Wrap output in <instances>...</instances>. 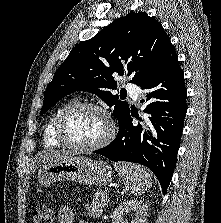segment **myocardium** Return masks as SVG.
<instances>
[{
    "label": "myocardium",
    "instance_id": "myocardium-1",
    "mask_svg": "<svg viewBox=\"0 0 221 223\" xmlns=\"http://www.w3.org/2000/svg\"><path fill=\"white\" fill-rule=\"evenodd\" d=\"M85 109H91L95 110L99 113H101L107 120L108 123V132L107 134L97 143L93 145H79L71 142L65 135V124L68 118L75 112L79 110H85ZM55 138L64 146L67 148L79 151V152H93L97 151L99 149L104 148L108 144L112 142L116 135V125L115 122L110 115V113L103 108L102 106L95 104V103H89V102H76L68 107H66L60 114L55 130H54Z\"/></svg>",
    "mask_w": 221,
    "mask_h": 223
}]
</instances>
